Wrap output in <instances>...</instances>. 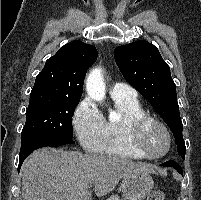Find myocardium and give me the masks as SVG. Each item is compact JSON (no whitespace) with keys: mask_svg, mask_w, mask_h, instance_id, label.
I'll return each mask as SVG.
<instances>
[{"mask_svg":"<svg viewBox=\"0 0 201 200\" xmlns=\"http://www.w3.org/2000/svg\"><path fill=\"white\" fill-rule=\"evenodd\" d=\"M148 124H155L162 129L167 139V147L166 150L158 155H150L142 145L141 135L144 128ZM127 137L130 146L137 151L143 158L149 160H159L167 156L172 147V137L168 127L159 119L150 116V115H142L136 118H133L129 121L127 126Z\"/></svg>","mask_w":201,"mask_h":200,"instance_id":"obj_1","label":"myocardium"}]
</instances>
